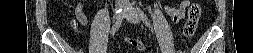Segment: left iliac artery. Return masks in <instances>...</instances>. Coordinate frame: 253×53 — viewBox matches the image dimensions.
<instances>
[{"instance_id": "44dca946", "label": "left iliac artery", "mask_w": 253, "mask_h": 53, "mask_svg": "<svg viewBox=\"0 0 253 53\" xmlns=\"http://www.w3.org/2000/svg\"><path fill=\"white\" fill-rule=\"evenodd\" d=\"M138 9V12H139V15H140V18L141 20L145 23V25H147L148 27H150V20L148 19V17L146 16V14L140 10V8H137Z\"/></svg>"}]
</instances>
